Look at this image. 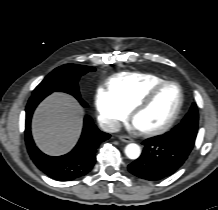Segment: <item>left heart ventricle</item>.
<instances>
[{
  "label": "left heart ventricle",
  "mask_w": 218,
  "mask_h": 210,
  "mask_svg": "<svg viewBox=\"0 0 218 210\" xmlns=\"http://www.w3.org/2000/svg\"><path fill=\"white\" fill-rule=\"evenodd\" d=\"M179 98V89L176 85L165 86L153 102L135 116L134 123L140 131L153 130L165 125L173 116Z\"/></svg>",
  "instance_id": "b2bd125f"
}]
</instances>
